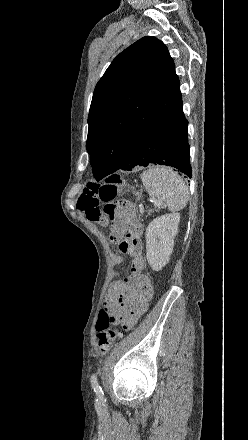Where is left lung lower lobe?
<instances>
[{
    "label": "left lung lower lobe",
    "instance_id": "obj_1",
    "mask_svg": "<svg viewBox=\"0 0 248 440\" xmlns=\"http://www.w3.org/2000/svg\"><path fill=\"white\" fill-rule=\"evenodd\" d=\"M187 126L181 101L131 146L118 169L130 171L154 163L174 167L191 178Z\"/></svg>",
    "mask_w": 248,
    "mask_h": 440
}]
</instances>
